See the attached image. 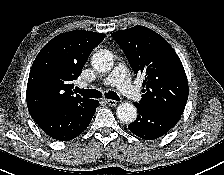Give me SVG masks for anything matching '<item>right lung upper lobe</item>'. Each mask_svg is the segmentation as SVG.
<instances>
[{
    "label": "right lung upper lobe",
    "instance_id": "obj_1",
    "mask_svg": "<svg viewBox=\"0 0 224 175\" xmlns=\"http://www.w3.org/2000/svg\"><path fill=\"white\" fill-rule=\"evenodd\" d=\"M105 34L74 30L49 41L35 58L27 84V107L34 119L55 108L90 99L74 95L73 81Z\"/></svg>",
    "mask_w": 224,
    "mask_h": 175
}]
</instances>
